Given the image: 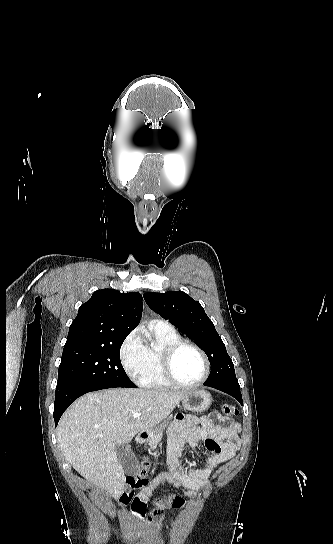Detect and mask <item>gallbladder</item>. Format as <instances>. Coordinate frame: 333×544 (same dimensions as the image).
<instances>
[{
  "label": "gallbladder",
  "mask_w": 333,
  "mask_h": 544,
  "mask_svg": "<svg viewBox=\"0 0 333 544\" xmlns=\"http://www.w3.org/2000/svg\"><path fill=\"white\" fill-rule=\"evenodd\" d=\"M115 451L125 473L127 475H137L140 466L134 452L129 449L128 444H118Z\"/></svg>",
  "instance_id": "obj_1"
}]
</instances>
